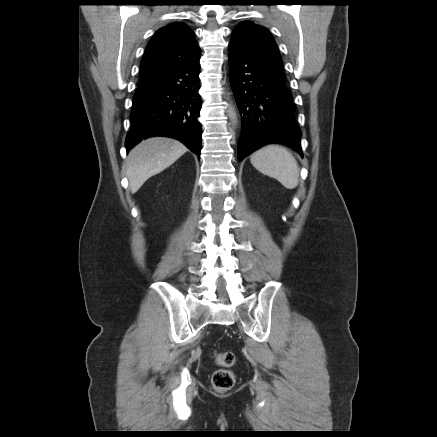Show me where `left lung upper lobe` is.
<instances>
[{
  "label": "left lung upper lobe",
  "instance_id": "obj_1",
  "mask_svg": "<svg viewBox=\"0 0 437 437\" xmlns=\"http://www.w3.org/2000/svg\"><path fill=\"white\" fill-rule=\"evenodd\" d=\"M232 46L284 81L283 62L271 33L251 21L241 22L232 32Z\"/></svg>",
  "mask_w": 437,
  "mask_h": 437
}]
</instances>
